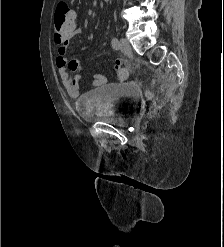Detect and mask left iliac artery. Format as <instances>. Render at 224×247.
<instances>
[{
  "mask_svg": "<svg viewBox=\"0 0 224 247\" xmlns=\"http://www.w3.org/2000/svg\"><path fill=\"white\" fill-rule=\"evenodd\" d=\"M111 44H112V47L114 48V49H118L119 48V41H118V39L117 38H113L112 39V42H111Z\"/></svg>",
  "mask_w": 224,
  "mask_h": 247,
  "instance_id": "1",
  "label": "left iliac artery"
}]
</instances>
